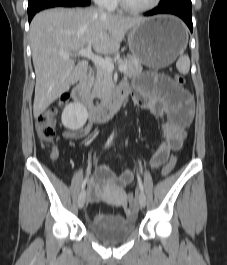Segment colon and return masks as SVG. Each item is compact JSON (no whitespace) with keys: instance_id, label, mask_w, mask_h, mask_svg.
I'll use <instances>...</instances> for the list:
<instances>
[{"instance_id":"5ec220e1","label":"colon","mask_w":227,"mask_h":265,"mask_svg":"<svg viewBox=\"0 0 227 265\" xmlns=\"http://www.w3.org/2000/svg\"><path fill=\"white\" fill-rule=\"evenodd\" d=\"M174 81L177 85H183L185 83V79L182 75H175ZM68 96H62L59 100V105L67 102ZM57 113V109L55 107H50L40 113L36 119V132L38 138L42 142L51 143L55 138V116ZM177 157L172 156L169 161L164 165L162 169V176H167L172 172L175 167ZM128 201L131 206H135L136 204V196L134 194H129Z\"/></svg>"}]
</instances>
